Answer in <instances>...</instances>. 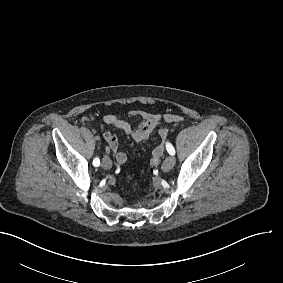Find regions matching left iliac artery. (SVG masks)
Wrapping results in <instances>:
<instances>
[{"label":"left iliac artery","mask_w":283,"mask_h":283,"mask_svg":"<svg viewBox=\"0 0 283 283\" xmlns=\"http://www.w3.org/2000/svg\"><path fill=\"white\" fill-rule=\"evenodd\" d=\"M166 149H167V151H168V153L170 155H174L175 154V149H174V147L172 146L171 143H167L166 144Z\"/></svg>","instance_id":"left-iliac-artery-1"}]
</instances>
